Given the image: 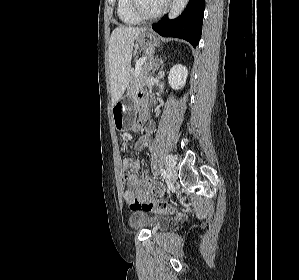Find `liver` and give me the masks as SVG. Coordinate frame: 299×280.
Segmentation results:
<instances>
[{
  "mask_svg": "<svg viewBox=\"0 0 299 280\" xmlns=\"http://www.w3.org/2000/svg\"><path fill=\"white\" fill-rule=\"evenodd\" d=\"M145 31L146 28L119 26L110 36L108 51L112 106L121 99L129 83L134 41Z\"/></svg>",
  "mask_w": 299,
  "mask_h": 280,
  "instance_id": "1",
  "label": "liver"
}]
</instances>
